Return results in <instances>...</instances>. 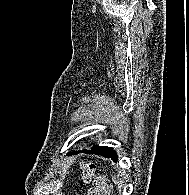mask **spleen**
Masks as SVG:
<instances>
[{
    "label": "spleen",
    "mask_w": 189,
    "mask_h": 195,
    "mask_svg": "<svg viewBox=\"0 0 189 195\" xmlns=\"http://www.w3.org/2000/svg\"><path fill=\"white\" fill-rule=\"evenodd\" d=\"M112 181L115 183V184H117L118 185V188H121V182L119 181V180H116V177L115 176H113L112 177Z\"/></svg>",
    "instance_id": "1"
}]
</instances>
